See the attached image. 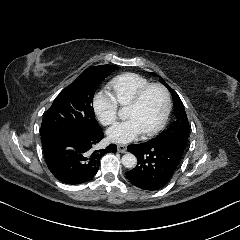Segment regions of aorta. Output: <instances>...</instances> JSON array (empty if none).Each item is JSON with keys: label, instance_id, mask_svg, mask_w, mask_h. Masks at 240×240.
<instances>
[{"label": "aorta", "instance_id": "obj_1", "mask_svg": "<svg viewBox=\"0 0 240 240\" xmlns=\"http://www.w3.org/2000/svg\"><path fill=\"white\" fill-rule=\"evenodd\" d=\"M122 164L126 167V168H134L137 165V158L135 155L133 154H125L122 157Z\"/></svg>", "mask_w": 240, "mask_h": 240}]
</instances>
